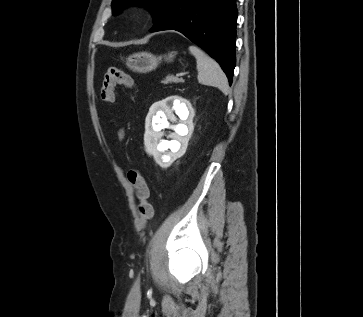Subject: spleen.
I'll list each match as a JSON object with an SVG mask.
<instances>
[{
	"instance_id": "obj_1",
	"label": "spleen",
	"mask_w": 363,
	"mask_h": 317,
	"mask_svg": "<svg viewBox=\"0 0 363 317\" xmlns=\"http://www.w3.org/2000/svg\"><path fill=\"white\" fill-rule=\"evenodd\" d=\"M189 51L197 60L198 82L204 85L218 87L224 94H228V80L220 65L194 45L189 47Z\"/></svg>"
}]
</instances>
